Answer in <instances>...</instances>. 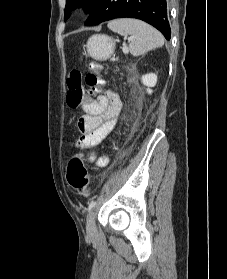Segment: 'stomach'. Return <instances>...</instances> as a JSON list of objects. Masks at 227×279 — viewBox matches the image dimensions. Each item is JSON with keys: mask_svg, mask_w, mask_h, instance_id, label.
I'll use <instances>...</instances> for the list:
<instances>
[{"mask_svg": "<svg viewBox=\"0 0 227 279\" xmlns=\"http://www.w3.org/2000/svg\"><path fill=\"white\" fill-rule=\"evenodd\" d=\"M116 40L107 35H92L86 44L87 54L95 60L105 61L115 51Z\"/></svg>", "mask_w": 227, "mask_h": 279, "instance_id": "0dacf381", "label": "stomach"}]
</instances>
